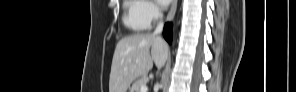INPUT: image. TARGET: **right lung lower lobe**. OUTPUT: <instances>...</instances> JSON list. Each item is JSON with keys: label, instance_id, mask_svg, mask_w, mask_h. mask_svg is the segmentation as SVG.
<instances>
[{"label": "right lung lower lobe", "instance_id": "right-lung-lower-lobe-1", "mask_svg": "<svg viewBox=\"0 0 296 92\" xmlns=\"http://www.w3.org/2000/svg\"><path fill=\"white\" fill-rule=\"evenodd\" d=\"M163 36L169 43H171L172 41V24L171 23H167L165 25L163 30Z\"/></svg>", "mask_w": 296, "mask_h": 92}]
</instances>
